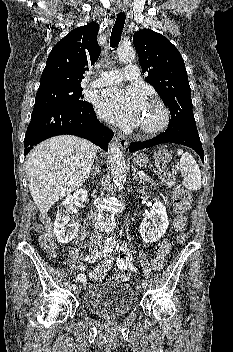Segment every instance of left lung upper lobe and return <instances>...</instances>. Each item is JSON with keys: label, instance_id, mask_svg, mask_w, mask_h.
I'll return each mask as SVG.
<instances>
[{"label": "left lung upper lobe", "instance_id": "1", "mask_svg": "<svg viewBox=\"0 0 233 352\" xmlns=\"http://www.w3.org/2000/svg\"><path fill=\"white\" fill-rule=\"evenodd\" d=\"M133 44L142 72L148 74L145 80L170 110L168 129L196 127L187 72L178 49L166 37L150 29L135 32Z\"/></svg>", "mask_w": 233, "mask_h": 352}]
</instances>
